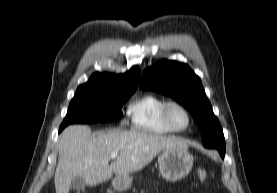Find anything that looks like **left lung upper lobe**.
I'll return each mask as SVG.
<instances>
[{"label":"left lung upper lobe","instance_id":"1","mask_svg":"<svg viewBox=\"0 0 277 193\" xmlns=\"http://www.w3.org/2000/svg\"><path fill=\"white\" fill-rule=\"evenodd\" d=\"M140 88L171 96L187 108L199 126L205 147L225 155V139L218 119L206 97L200 78L188 65L162 60L143 72Z\"/></svg>","mask_w":277,"mask_h":193}]
</instances>
